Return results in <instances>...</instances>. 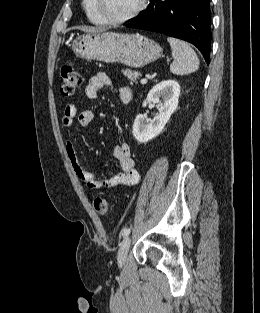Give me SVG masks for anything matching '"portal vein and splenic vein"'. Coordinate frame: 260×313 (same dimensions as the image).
Masks as SVG:
<instances>
[{
    "mask_svg": "<svg viewBox=\"0 0 260 313\" xmlns=\"http://www.w3.org/2000/svg\"><path fill=\"white\" fill-rule=\"evenodd\" d=\"M141 83H142V84H146V83H147V79H146V78L141 79Z\"/></svg>",
    "mask_w": 260,
    "mask_h": 313,
    "instance_id": "obj_1",
    "label": "portal vein and splenic vein"
}]
</instances>
